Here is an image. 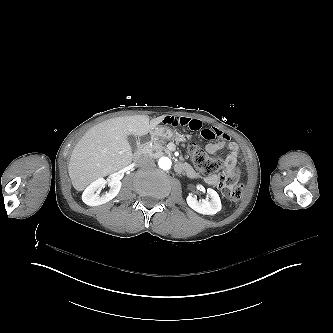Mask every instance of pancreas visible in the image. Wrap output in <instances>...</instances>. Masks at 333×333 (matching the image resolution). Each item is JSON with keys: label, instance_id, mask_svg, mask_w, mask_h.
I'll use <instances>...</instances> for the list:
<instances>
[{"label": "pancreas", "instance_id": "pancreas-1", "mask_svg": "<svg viewBox=\"0 0 333 333\" xmlns=\"http://www.w3.org/2000/svg\"><path fill=\"white\" fill-rule=\"evenodd\" d=\"M165 144V141L157 140L151 146L143 148L142 153L145 156H151L153 158H159L164 154H170V151Z\"/></svg>", "mask_w": 333, "mask_h": 333}]
</instances>
